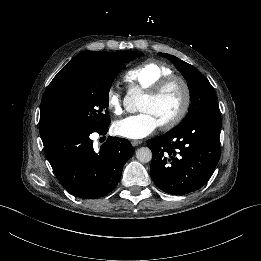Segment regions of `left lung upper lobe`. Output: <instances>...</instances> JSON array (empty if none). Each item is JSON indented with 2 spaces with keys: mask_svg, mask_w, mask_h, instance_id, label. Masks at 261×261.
<instances>
[{
  "mask_svg": "<svg viewBox=\"0 0 261 261\" xmlns=\"http://www.w3.org/2000/svg\"><path fill=\"white\" fill-rule=\"evenodd\" d=\"M159 55L169 59L180 71L187 81L191 106L184 121L175 128H180L200 116L220 117L218 99L208 79L194 66L180 60L179 58L166 54Z\"/></svg>",
  "mask_w": 261,
  "mask_h": 261,
  "instance_id": "left-lung-upper-lobe-1",
  "label": "left lung upper lobe"
}]
</instances>
